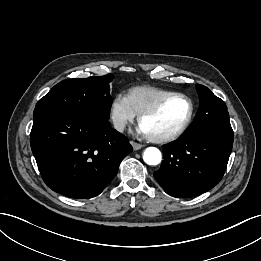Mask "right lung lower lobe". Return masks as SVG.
<instances>
[{
	"label": "right lung lower lobe",
	"instance_id": "obj_1",
	"mask_svg": "<svg viewBox=\"0 0 261 261\" xmlns=\"http://www.w3.org/2000/svg\"><path fill=\"white\" fill-rule=\"evenodd\" d=\"M31 149L53 191L87 199L99 195L133 148L110 125L83 113L35 108Z\"/></svg>",
	"mask_w": 261,
	"mask_h": 261
}]
</instances>
